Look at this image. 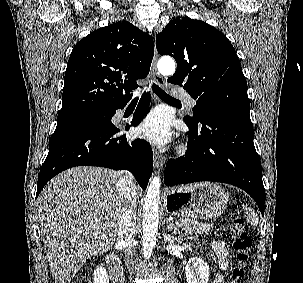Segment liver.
I'll return each instance as SVG.
<instances>
[{
  "label": "liver",
  "mask_w": 303,
  "mask_h": 283,
  "mask_svg": "<svg viewBox=\"0 0 303 283\" xmlns=\"http://www.w3.org/2000/svg\"><path fill=\"white\" fill-rule=\"evenodd\" d=\"M121 174L75 167L54 177L41 191L37 212L55 283H70L88 258L115 243L122 211ZM135 188L137 199L141 189Z\"/></svg>",
  "instance_id": "liver-1"
}]
</instances>
